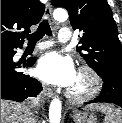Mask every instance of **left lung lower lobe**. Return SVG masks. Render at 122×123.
Returning a JSON list of instances; mask_svg holds the SVG:
<instances>
[{"instance_id":"0a47b994","label":"left lung lower lobe","mask_w":122,"mask_h":123,"mask_svg":"<svg viewBox=\"0 0 122 123\" xmlns=\"http://www.w3.org/2000/svg\"><path fill=\"white\" fill-rule=\"evenodd\" d=\"M103 89L100 95L88 103H113L122 107V72L111 71L100 76Z\"/></svg>"}]
</instances>
